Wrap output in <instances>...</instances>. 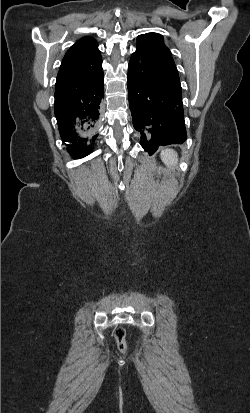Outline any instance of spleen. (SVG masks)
Masks as SVG:
<instances>
[{"mask_svg": "<svg viewBox=\"0 0 250 413\" xmlns=\"http://www.w3.org/2000/svg\"><path fill=\"white\" fill-rule=\"evenodd\" d=\"M160 157L164 164L170 168H173L178 164V154L173 149L162 150Z\"/></svg>", "mask_w": 250, "mask_h": 413, "instance_id": "3e777b00", "label": "spleen"}]
</instances>
